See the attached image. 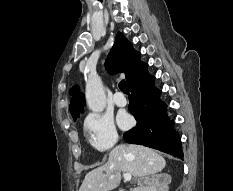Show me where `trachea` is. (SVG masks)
I'll return each instance as SVG.
<instances>
[{"label":"trachea","instance_id":"3493384b","mask_svg":"<svg viewBox=\"0 0 233 191\" xmlns=\"http://www.w3.org/2000/svg\"><path fill=\"white\" fill-rule=\"evenodd\" d=\"M119 88L120 90L123 92V93H129V89H128V86H127V83L125 80H122L120 83H119Z\"/></svg>","mask_w":233,"mask_h":191}]
</instances>
